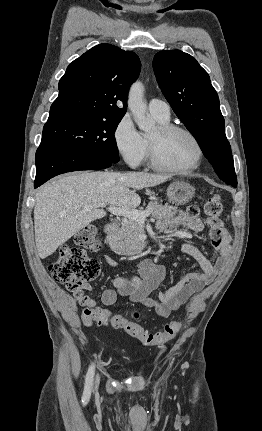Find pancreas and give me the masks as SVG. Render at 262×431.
<instances>
[{
    "instance_id": "obj_1",
    "label": "pancreas",
    "mask_w": 262,
    "mask_h": 431,
    "mask_svg": "<svg viewBox=\"0 0 262 431\" xmlns=\"http://www.w3.org/2000/svg\"><path fill=\"white\" fill-rule=\"evenodd\" d=\"M173 210L174 207L172 206L149 202L145 212H149L153 218L160 220L169 218ZM141 232L142 227L139 222L127 220L113 235L110 241L111 249L123 255L140 253L146 246V243L139 238Z\"/></svg>"
}]
</instances>
